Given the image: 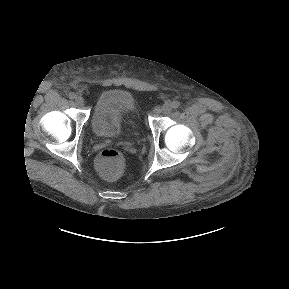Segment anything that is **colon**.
Listing matches in <instances>:
<instances>
[{
    "instance_id": "colon-1",
    "label": "colon",
    "mask_w": 289,
    "mask_h": 289,
    "mask_svg": "<svg viewBox=\"0 0 289 289\" xmlns=\"http://www.w3.org/2000/svg\"><path fill=\"white\" fill-rule=\"evenodd\" d=\"M96 167L103 177L116 179L120 177L124 171L125 158L119 150L106 148L98 155Z\"/></svg>"
}]
</instances>
